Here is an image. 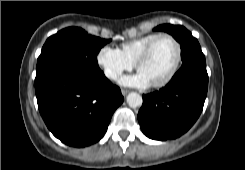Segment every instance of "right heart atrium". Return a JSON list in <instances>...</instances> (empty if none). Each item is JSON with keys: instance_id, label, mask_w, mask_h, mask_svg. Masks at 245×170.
I'll list each match as a JSON object with an SVG mask.
<instances>
[{"instance_id": "d8ad5b80", "label": "right heart atrium", "mask_w": 245, "mask_h": 170, "mask_svg": "<svg viewBox=\"0 0 245 170\" xmlns=\"http://www.w3.org/2000/svg\"><path fill=\"white\" fill-rule=\"evenodd\" d=\"M97 62L103 68L105 76L110 79H117L124 71L133 67V63L120 49L110 46H104L99 50Z\"/></svg>"}]
</instances>
